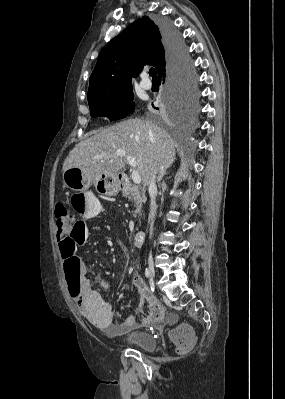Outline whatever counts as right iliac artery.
<instances>
[{
  "label": "right iliac artery",
  "mask_w": 285,
  "mask_h": 399,
  "mask_svg": "<svg viewBox=\"0 0 285 399\" xmlns=\"http://www.w3.org/2000/svg\"><path fill=\"white\" fill-rule=\"evenodd\" d=\"M145 275H146L147 278L149 277V270L147 268L145 270Z\"/></svg>",
  "instance_id": "1"
}]
</instances>
